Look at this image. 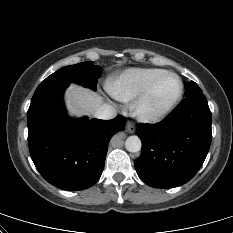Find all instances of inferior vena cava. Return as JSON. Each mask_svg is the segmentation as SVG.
Returning <instances> with one entry per match:
<instances>
[{
    "label": "inferior vena cava",
    "instance_id": "602c4592",
    "mask_svg": "<svg viewBox=\"0 0 233 233\" xmlns=\"http://www.w3.org/2000/svg\"><path fill=\"white\" fill-rule=\"evenodd\" d=\"M117 111L115 107L107 103L101 104L94 112V116L98 119L109 120L116 117Z\"/></svg>",
    "mask_w": 233,
    "mask_h": 233
}]
</instances>
